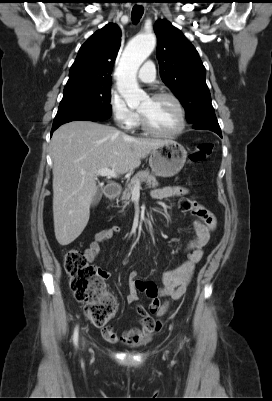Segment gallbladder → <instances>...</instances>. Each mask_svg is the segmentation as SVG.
<instances>
[{
  "label": "gallbladder",
  "instance_id": "gallbladder-1",
  "mask_svg": "<svg viewBox=\"0 0 272 401\" xmlns=\"http://www.w3.org/2000/svg\"><path fill=\"white\" fill-rule=\"evenodd\" d=\"M102 198V188L99 186L92 200V205H97Z\"/></svg>",
  "mask_w": 272,
  "mask_h": 401
}]
</instances>
